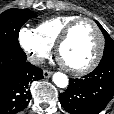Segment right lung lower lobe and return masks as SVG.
<instances>
[{
    "label": "right lung lower lobe",
    "instance_id": "1",
    "mask_svg": "<svg viewBox=\"0 0 114 114\" xmlns=\"http://www.w3.org/2000/svg\"><path fill=\"white\" fill-rule=\"evenodd\" d=\"M43 71L26 62L25 53L0 52V114H15L31 99L29 86Z\"/></svg>",
    "mask_w": 114,
    "mask_h": 114
}]
</instances>
